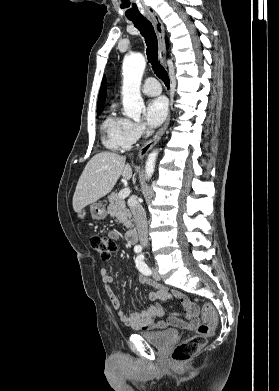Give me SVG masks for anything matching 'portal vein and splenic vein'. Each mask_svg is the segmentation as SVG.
I'll return each instance as SVG.
<instances>
[{
    "instance_id": "18ae733b",
    "label": "portal vein and splenic vein",
    "mask_w": 279,
    "mask_h": 391,
    "mask_svg": "<svg viewBox=\"0 0 279 391\" xmlns=\"http://www.w3.org/2000/svg\"><path fill=\"white\" fill-rule=\"evenodd\" d=\"M130 194V189L129 188H123L119 193H118V197L121 198V199H125L126 197H128Z\"/></svg>"
}]
</instances>
